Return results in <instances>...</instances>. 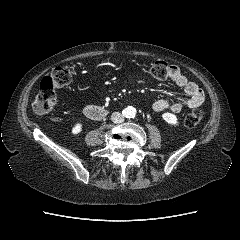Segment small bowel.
<instances>
[{
  "instance_id": "obj_1",
  "label": "small bowel",
  "mask_w": 240,
  "mask_h": 240,
  "mask_svg": "<svg viewBox=\"0 0 240 240\" xmlns=\"http://www.w3.org/2000/svg\"><path fill=\"white\" fill-rule=\"evenodd\" d=\"M169 79L178 87L182 88L187 98L173 102L169 99H159L152 104V110L156 113L169 110L172 113H179L183 109H195L201 106L205 100L203 90L194 82L189 81L175 66H169Z\"/></svg>"
}]
</instances>
